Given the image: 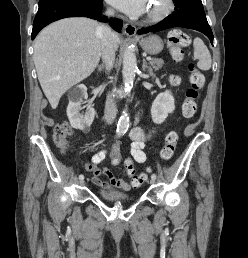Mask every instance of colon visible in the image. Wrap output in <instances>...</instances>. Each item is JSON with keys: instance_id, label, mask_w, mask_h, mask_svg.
Instances as JSON below:
<instances>
[{"instance_id": "obj_1", "label": "colon", "mask_w": 248, "mask_h": 258, "mask_svg": "<svg viewBox=\"0 0 248 258\" xmlns=\"http://www.w3.org/2000/svg\"><path fill=\"white\" fill-rule=\"evenodd\" d=\"M189 42V36L180 30H173L169 33L168 47L175 60H183V49L189 44ZM189 69L190 86L186 92V97L182 105V114L186 119H192L196 115L197 101L205 82L203 74L196 68L193 62L189 64ZM71 134L72 127L69 123L63 122L55 126L53 131V140L61 151L64 152L67 150L69 145L68 139ZM177 141L178 133L174 130L169 131L165 138V145L160 152L161 159L168 160L173 156ZM116 144L117 145H112L111 147V162L113 165H117L120 162V150L122 148L121 145H118V142ZM134 161L133 155L127 154L126 158L121 161V168L127 169L128 174L132 177L133 184L135 186H139L147 180L148 174H135Z\"/></svg>"}]
</instances>
